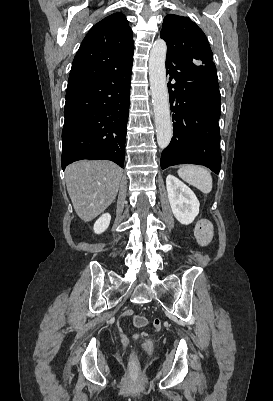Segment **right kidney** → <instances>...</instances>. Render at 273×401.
Wrapping results in <instances>:
<instances>
[{"instance_id":"1","label":"right kidney","mask_w":273,"mask_h":401,"mask_svg":"<svg viewBox=\"0 0 273 401\" xmlns=\"http://www.w3.org/2000/svg\"><path fill=\"white\" fill-rule=\"evenodd\" d=\"M111 217L109 213H105V215H102L98 221H96L94 225V233H97V235H101V233H104L106 229H108L110 225Z\"/></svg>"}]
</instances>
